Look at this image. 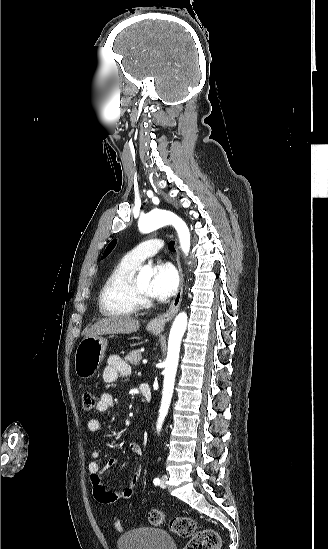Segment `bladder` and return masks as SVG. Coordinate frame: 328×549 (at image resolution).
<instances>
[{
  "mask_svg": "<svg viewBox=\"0 0 328 549\" xmlns=\"http://www.w3.org/2000/svg\"><path fill=\"white\" fill-rule=\"evenodd\" d=\"M132 532L118 538V549H175L172 535L159 528L140 527Z\"/></svg>",
  "mask_w": 328,
  "mask_h": 549,
  "instance_id": "bladder-1",
  "label": "bladder"
}]
</instances>
